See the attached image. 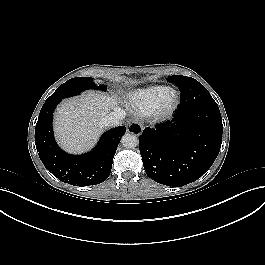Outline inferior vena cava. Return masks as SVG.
<instances>
[{"label": "inferior vena cava", "instance_id": "1", "mask_svg": "<svg viewBox=\"0 0 265 265\" xmlns=\"http://www.w3.org/2000/svg\"><path fill=\"white\" fill-rule=\"evenodd\" d=\"M124 115L125 113L121 109L115 112H111L110 114L101 119L99 126L101 128L119 126L120 121L124 118Z\"/></svg>", "mask_w": 265, "mask_h": 265}]
</instances>
